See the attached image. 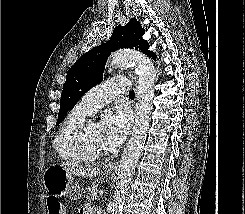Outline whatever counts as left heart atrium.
Segmentation results:
<instances>
[{
    "mask_svg": "<svg viewBox=\"0 0 245 214\" xmlns=\"http://www.w3.org/2000/svg\"><path fill=\"white\" fill-rule=\"evenodd\" d=\"M129 129V116L125 111L107 114L97 125L99 140L105 151L117 149Z\"/></svg>",
    "mask_w": 245,
    "mask_h": 214,
    "instance_id": "1",
    "label": "left heart atrium"
}]
</instances>
